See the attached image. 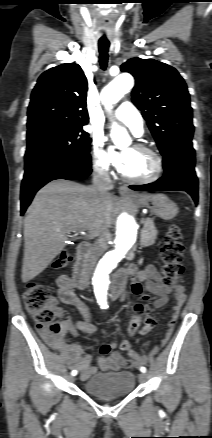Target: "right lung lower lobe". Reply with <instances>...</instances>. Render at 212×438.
Segmentation results:
<instances>
[{"mask_svg":"<svg viewBox=\"0 0 212 438\" xmlns=\"http://www.w3.org/2000/svg\"><path fill=\"white\" fill-rule=\"evenodd\" d=\"M92 172L90 154H63L49 151H28L25 154V173L21 184V215L35 193L55 179L76 180Z\"/></svg>","mask_w":212,"mask_h":438,"instance_id":"obj_1","label":"right lung lower lobe"}]
</instances>
